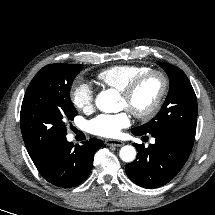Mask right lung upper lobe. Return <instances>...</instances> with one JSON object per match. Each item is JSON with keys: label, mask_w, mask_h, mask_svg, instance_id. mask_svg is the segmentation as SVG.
Instances as JSON below:
<instances>
[{"label": "right lung upper lobe", "mask_w": 215, "mask_h": 215, "mask_svg": "<svg viewBox=\"0 0 215 215\" xmlns=\"http://www.w3.org/2000/svg\"><path fill=\"white\" fill-rule=\"evenodd\" d=\"M44 153H45V152H44ZM44 153L32 155V156H30V157L32 158V160H33L34 163H37V162L41 159V157L44 155Z\"/></svg>", "instance_id": "1"}]
</instances>
